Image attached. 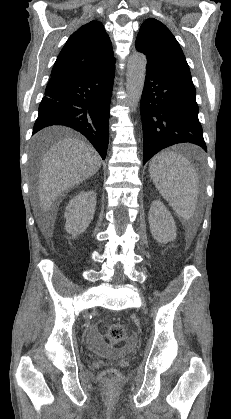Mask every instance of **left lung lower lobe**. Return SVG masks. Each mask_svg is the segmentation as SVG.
Segmentation results:
<instances>
[{"label":"left lung lower lobe","instance_id":"1","mask_svg":"<svg viewBox=\"0 0 231 419\" xmlns=\"http://www.w3.org/2000/svg\"><path fill=\"white\" fill-rule=\"evenodd\" d=\"M192 79L146 70L141 97L143 164L163 148L193 143L207 151Z\"/></svg>","mask_w":231,"mask_h":419}]
</instances>
